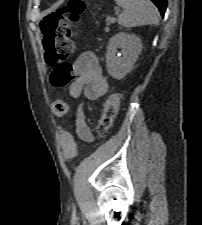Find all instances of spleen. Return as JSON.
<instances>
[{
  "label": "spleen",
  "mask_w": 202,
  "mask_h": 225,
  "mask_svg": "<svg viewBox=\"0 0 202 225\" xmlns=\"http://www.w3.org/2000/svg\"><path fill=\"white\" fill-rule=\"evenodd\" d=\"M123 12L118 16V23L123 27L157 25L159 12L150 0H115Z\"/></svg>",
  "instance_id": "obj_1"
}]
</instances>
